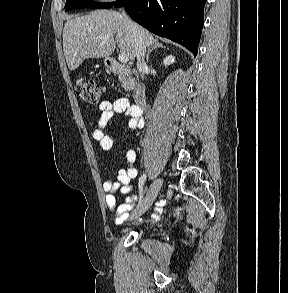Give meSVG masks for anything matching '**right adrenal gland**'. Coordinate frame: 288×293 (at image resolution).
Instances as JSON below:
<instances>
[{"instance_id":"right-adrenal-gland-1","label":"right adrenal gland","mask_w":288,"mask_h":293,"mask_svg":"<svg viewBox=\"0 0 288 293\" xmlns=\"http://www.w3.org/2000/svg\"><path fill=\"white\" fill-rule=\"evenodd\" d=\"M157 48H165V46H163V45H162L161 43H159V42H156V43L154 44V46H153L150 50H148V52H147V54H146V62H147V63L149 62V57H150L151 52H152L153 50L157 49Z\"/></svg>"}]
</instances>
